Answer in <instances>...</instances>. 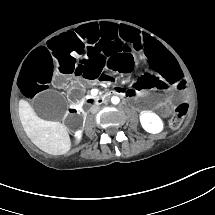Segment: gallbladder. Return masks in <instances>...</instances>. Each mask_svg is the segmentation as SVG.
I'll list each match as a JSON object with an SVG mask.
<instances>
[{
    "label": "gallbladder",
    "instance_id": "bac80fb5",
    "mask_svg": "<svg viewBox=\"0 0 215 215\" xmlns=\"http://www.w3.org/2000/svg\"><path fill=\"white\" fill-rule=\"evenodd\" d=\"M66 109V99L58 90L39 92L33 100V113L47 120H59Z\"/></svg>",
    "mask_w": 215,
    "mask_h": 215
}]
</instances>
